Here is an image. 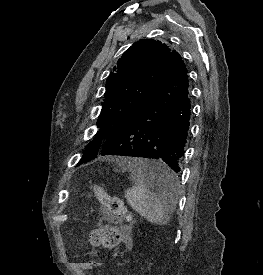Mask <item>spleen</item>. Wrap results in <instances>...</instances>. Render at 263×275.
<instances>
[{
  "label": "spleen",
  "instance_id": "spleen-1",
  "mask_svg": "<svg viewBox=\"0 0 263 275\" xmlns=\"http://www.w3.org/2000/svg\"><path fill=\"white\" fill-rule=\"evenodd\" d=\"M119 166L122 171L131 172L134 185L126 191L125 197L132 209L152 224H167L169 221L168 204H174L176 201L175 194L179 186L177 177L174 176L170 190L157 195L152 193L147 186V177L144 171L156 169L170 173V169L165 164L140 158H126L121 160Z\"/></svg>",
  "mask_w": 263,
  "mask_h": 275
}]
</instances>
